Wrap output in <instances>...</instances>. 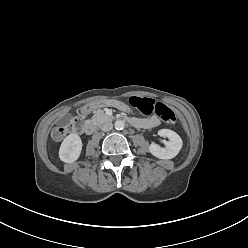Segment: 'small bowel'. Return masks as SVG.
Instances as JSON below:
<instances>
[{"label":"small bowel","instance_id":"1","mask_svg":"<svg viewBox=\"0 0 248 248\" xmlns=\"http://www.w3.org/2000/svg\"><path fill=\"white\" fill-rule=\"evenodd\" d=\"M140 123L136 125L142 128H155L160 124L159 119L156 116H152L147 119H137Z\"/></svg>","mask_w":248,"mask_h":248}]
</instances>
